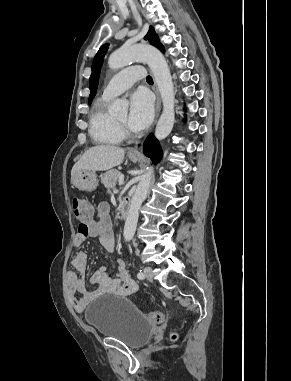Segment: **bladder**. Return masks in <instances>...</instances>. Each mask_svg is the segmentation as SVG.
Instances as JSON below:
<instances>
[{
	"instance_id": "31cf9c89",
	"label": "bladder",
	"mask_w": 291,
	"mask_h": 381,
	"mask_svg": "<svg viewBox=\"0 0 291 381\" xmlns=\"http://www.w3.org/2000/svg\"><path fill=\"white\" fill-rule=\"evenodd\" d=\"M86 318L105 337L138 348L153 336L156 326L128 298H102L86 311Z\"/></svg>"
}]
</instances>
